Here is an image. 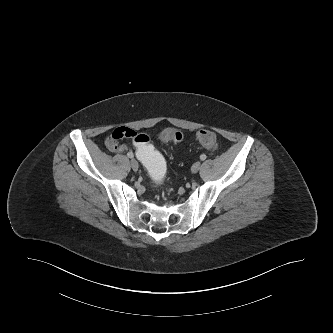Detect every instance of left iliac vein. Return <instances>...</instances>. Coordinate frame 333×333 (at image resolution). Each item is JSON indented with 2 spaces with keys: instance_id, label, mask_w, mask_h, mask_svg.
<instances>
[{
  "instance_id": "left-iliac-vein-1",
  "label": "left iliac vein",
  "mask_w": 333,
  "mask_h": 333,
  "mask_svg": "<svg viewBox=\"0 0 333 333\" xmlns=\"http://www.w3.org/2000/svg\"><path fill=\"white\" fill-rule=\"evenodd\" d=\"M200 167H201V163L200 162L194 163L192 165V167H191L192 173H197L199 171Z\"/></svg>"
}]
</instances>
